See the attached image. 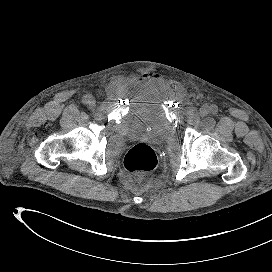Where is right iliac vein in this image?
Here are the masks:
<instances>
[{
	"mask_svg": "<svg viewBox=\"0 0 272 272\" xmlns=\"http://www.w3.org/2000/svg\"><path fill=\"white\" fill-rule=\"evenodd\" d=\"M89 107L90 108H94L95 106H96V101H95V99L94 98H92V97H90L89 98Z\"/></svg>",
	"mask_w": 272,
	"mask_h": 272,
	"instance_id": "right-iliac-vein-1",
	"label": "right iliac vein"
}]
</instances>
